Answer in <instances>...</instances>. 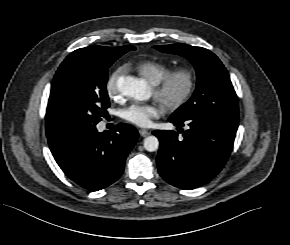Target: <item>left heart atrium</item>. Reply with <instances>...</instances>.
<instances>
[{
  "label": "left heart atrium",
  "mask_w": 290,
  "mask_h": 245,
  "mask_svg": "<svg viewBox=\"0 0 290 245\" xmlns=\"http://www.w3.org/2000/svg\"><path fill=\"white\" fill-rule=\"evenodd\" d=\"M163 114V106L158 102L135 103L123 111V118L138 126L147 127L152 120Z\"/></svg>",
  "instance_id": "39dd6f15"
}]
</instances>
